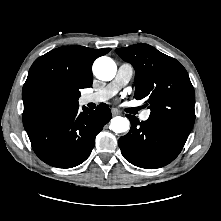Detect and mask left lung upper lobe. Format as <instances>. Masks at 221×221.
<instances>
[{
	"label": "left lung upper lobe",
	"instance_id": "1",
	"mask_svg": "<svg viewBox=\"0 0 221 221\" xmlns=\"http://www.w3.org/2000/svg\"><path fill=\"white\" fill-rule=\"evenodd\" d=\"M135 68V98H146L151 118L191 130L195 121V93L188 73L176 59L151 45L116 49Z\"/></svg>",
	"mask_w": 221,
	"mask_h": 221
}]
</instances>
